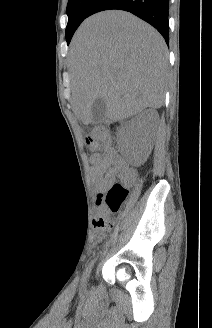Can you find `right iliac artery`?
<instances>
[{
	"label": "right iliac artery",
	"mask_w": 212,
	"mask_h": 328,
	"mask_svg": "<svg viewBox=\"0 0 212 328\" xmlns=\"http://www.w3.org/2000/svg\"><path fill=\"white\" fill-rule=\"evenodd\" d=\"M94 262H95V259H93V260L89 263L88 267L86 268V271H85V273H84V275H83V281H84V282L86 281L87 277L89 276V273H90V271H91V268H92Z\"/></svg>",
	"instance_id": "right-iliac-artery-1"
}]
</instances>
